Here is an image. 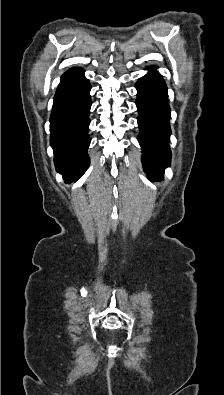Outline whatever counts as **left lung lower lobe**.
Segmentation results:
<instances>
[{"mask_svg":"<svg viewBox=\"0 0 224 395\" xmlns=\"http://www.w3.org/2000/svg\"><path fill=\"white\" fill-rule=\"evenodd\" d=\"M136 83L137 108L140 135L138 141L143 150V164L153 181L163 178L164 168L170 165V108L167 87L155 67Z\"/></svg>","mask_w":224,"mask_h":395,"instance_id":"1","label":"left lung lower lobe"}]
</instances>
